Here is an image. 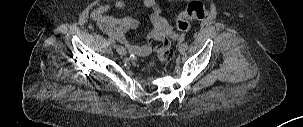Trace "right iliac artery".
Masks as SVG:
<instances>
[{"label":"right iliac artery","mask_w":303,"mask_h":127,"mask_svg":"<svg viewBox=\"0 0 303 127\" xmlns=\"http://www.w3.org/2000/svg\"><path fill=\"white\" fill-rule=\"evenodd\" d=\"M108 43L112 46V47H116V43H115V41H114V39H112V38H108Z\"/></svg>","instance_id":"obj_1"}]
</instances>
